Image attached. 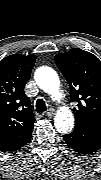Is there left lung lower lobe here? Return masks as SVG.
I'll use <instances>...</instances> for the list:
<instances>
[{"instance_id": "1", "label": "left lung lower lobe", "mask_w": 101, "mask_h": 180, "mask_svg": "<svg viewBox=\"0 0 101 180\" xmlns=\"http://www.w3.org/2000/svg\"><path fill=\"white\" fill-rule=\"evenodd\" d=\"M63 139L76 152L90 154L99 149L101 132L78 125L70 134L64 135Z\"/></svg>"}]
</instances>
